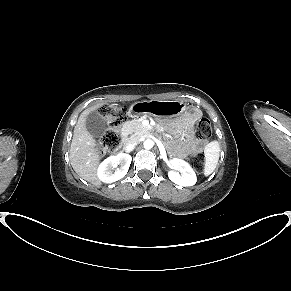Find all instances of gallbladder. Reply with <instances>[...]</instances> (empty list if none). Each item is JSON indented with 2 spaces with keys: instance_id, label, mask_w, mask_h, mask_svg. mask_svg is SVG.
Segmentation results:
<instances>
[{
  "instance_id": "obj_1",
  "label": "gallbladder",
  "mask_w": 291,
  "mask_h": 291,
  "mask_svg": "<svg viewBox=\"0 0 291 291\" xmlns=\"http://www.w3.org/2000/svg\"><path fill=\"white\" fill-rule=\"evenodd\" d=\"M85 125L88 132L96 138L101 137L107 128L104 117L96 111L86 117Z\"/></svg>"
}]
</instances>
